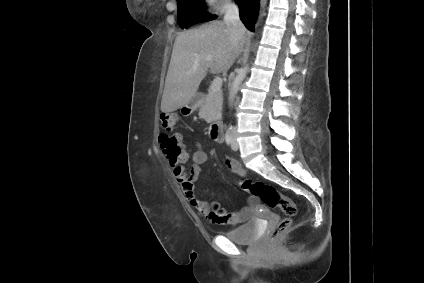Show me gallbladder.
Listing matches in <instances>:
<instances>
[{"label":"gallbladder","mask_w":424,"mask_h":283,"mask_svg":"<svg viewBox=\"0 0 424 283\" xmlns=\"http://www.w3.org/2000/svg\"><path fill=\"white\" fill-rule=\"evenodd\" d=\"M196 100H197V97L195 96V97H194V98H192V100L190 101V104L195 103V102H196Z\"/></svg>","instance_id":"bac80fb5"}]
</instances>
